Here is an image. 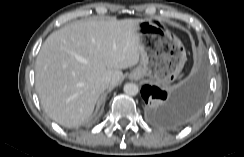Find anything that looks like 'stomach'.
<instances>
[{
  "label": "stomach",
  "instance_id": "1",
  "mask_svg": "<svg viewBox=\"0 0 244 157\" xmlns=\"http://www.w3.org/2000/svg\"><path fill=\"white\" fill-rule=\"evenodd\" d=\"M140 44V63L129 77H147L152 84L164 86L174 80L186 62L181 40L158 19H142L136 32Z\"/></svg>",
  "mask_w": 244,
  "mask_h": 157
}]
</instances>
